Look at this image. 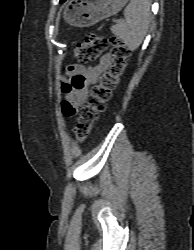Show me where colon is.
<instances>
[{
    "mask_svg": "<svg viewBox=\"0 0 194 250\" xmlns=\"http://www.w3.org/2000/svg\"><path fill=\"white\" fill-rule=\"evenodd\" d=\"M112 45V62L109 68L100 76L99 81L94 84L87 97V102L78 109V120L74 128L77 141H83L91 132L93 124L99 115L106 110L107 103L117 87L123 70L127 64L129 49L127 45L118 38L108 39L96 33L87 34L85 40L73 46V54L81 63L94 61L99 55ZM74 108L66 110L71 115Z\"/></svg>",
    "mask_w": 194,
    "mask_h": 250,
    "instance_id": "obj_1",
    "label": "colon"
}]
</instances>
